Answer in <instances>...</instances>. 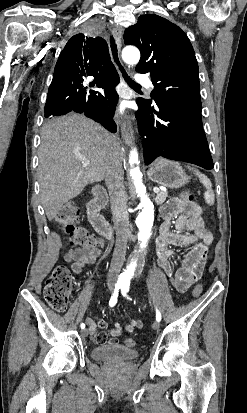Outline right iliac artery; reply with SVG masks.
<instances>
[{
    "label": "right iliac artery",
    "instance_id": "1",
    "mask_svg": "<svg viewBox=\"0 0 247 413\" xmlns=\"http://www.w3.org/2000/svg\"><path fill=\"white\" fill-rule=\"evenodd\" d=\"M119 289H120V286H119V285H115L114 292H113V294H112V296H111V298H110V301H109L110 307L115 306V304L117 303V298H118V294H119ZM80 327H81V329H84V328H85V324L82 323V324L80 325Z\"/></svg>",
    "mask_w": 247,
    "mask_h": 413
}]
</instances>
